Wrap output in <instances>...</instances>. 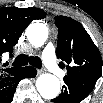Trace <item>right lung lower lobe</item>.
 <instances>
[{
    "label": "right lung lower lobe",
    "instance_id": "98d812e1",
    "mask_svg": "<svg viewBox=\"0 0 103 103\" xmlns=\"http://www.w3.org/2000/svg\"><path fill=\"white\" fill-rule=\"evenodd\" d=\"M29 67L21 68L17 75L0 80V103H10L13 99L18 83L26 77L36 75V70H28Z\"/></svg>",
    "mask_w": 103,
    "mask_h": 103
}]
</instances>
